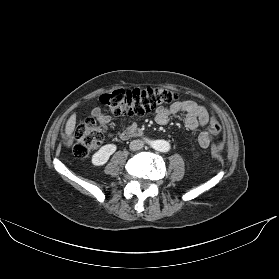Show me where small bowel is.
<instances>
[{
	"label": "small bowel",
	"instance_id": "obj_1",
	"mask_svg": "<svg viewBox=\"0 0 279 279\" xmlns=\"http://www.w3.org/2000/svg\"><path fill=\"white\" fill-rule=\"evenodd\" d=\"M183 114L185 117L186 125L191 130L198 128H205L199 135L198 142L201 148H207L214 135H211L207 129L209 126L210 116L208 111L192 100H181L174 102L169 107H158L155 112V120L160 125L167 124L171 118ZM92 116L98 120V122L105 126L109 122L110 118L107 115L102 114L101 108L96 107L92 111ZM132 129H136V125L132 124L126 129H120L115 134H109L114 138H126V133Z\"/></svg>",
	"mask_w": 279,
	"mask_h": 279
}]
</instances>
